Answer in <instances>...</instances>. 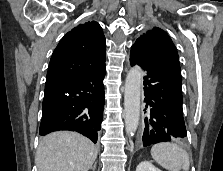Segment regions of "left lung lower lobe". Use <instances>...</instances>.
<instances>
[{"label": "left lung lower lobe", "mask_w": 223, "mask_h": 171, "mask_svg": "<svg viewBox=\"0 0 223 171\" xmlns=\"http://www.w3.org/2000/svg\"><path fill=\"white\" fill-rule=\"evenodd\" d=\"M131 65L145 72L144 129L139 141L143 146L182 139L187 136L182 110L181 75L162 59L134 44L130 52Z\"/></svg>", "instance_id": "left-lung-lower-lobe-1"}]
</instances>
